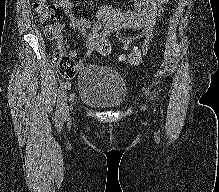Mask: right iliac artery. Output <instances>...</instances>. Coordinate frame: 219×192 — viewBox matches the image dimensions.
Instances as JSON below:
<instances>
[{"label":"right iliac artery","instance_id":"1","mask_svg":"<svg viewBox=\"0 0 219 192\" xmlns=\"http://www.w3.org/2000/svg\"><path fill=\"white\" fill-rule=\"evenodd\" d=\"M70 87L69 82H62L59 87L58 100H57V112L56 116L58 119H62L63 105L65 100V90Z\"/></svg>","mask_w":219,"mask_h":192}]
</instances>
